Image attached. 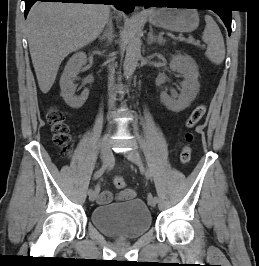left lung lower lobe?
Wrapping results in <instances>:
<instances>
[{"instance_id": "left-lung-lower-lobe-1", "label": "left lung lower lobe", "mask_w": 259, "mask_h": 266, "mask_svg": "<svg viewBox=\"0 0 259 266\" xmlns=\"http://www.w3.org/2000/svg\"><path fill=\"white\" fill-rule=\"evenodd\" d=\"M192 0H143L142 6L147 7H171L177 5H187L193 4L191 3ZM197 3V2H196ZM215 11L224 22L225 26L227 27L229 35L231 34V20L232 14L229 9H212Z\"/></svg>"}]
</instances>
